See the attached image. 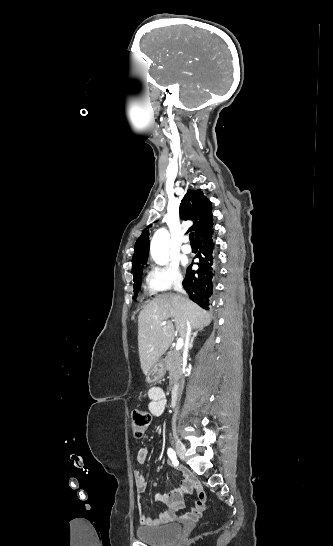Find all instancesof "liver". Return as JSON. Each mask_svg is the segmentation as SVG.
<instances>
[{"label":"liver","mask_w":333,"mask_h":546,"mask_svg":"<svg viewBox=\"0 0 333 546\" xmlns=\"http://www.w3.org/2000/svg\"><path fill=\"white\" fill-rule=\"evenodd\" d=\"M169 318L172 321H166ZM211 319L210 313L180 295L164 293L152 299L138 316V350L144 375L168 350L176 334L185 338L187 323L197 329L208 326Z\"/></svg>","instance_id":"liver-1"}]
</instances>
